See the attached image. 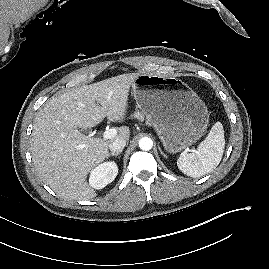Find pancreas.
Wrapping results in <instances>:
<instances>
[{
	"label": "pancreas",
	"mask_w": 269,
	"mask_h": 269,
	"mask_svg": "<svg viewBox=\"0 0 269 269\" xmlns=\"http://www.w3.org/2000/svg\"><path fill=\"white\" fill-rule=\"evenodd\" d=\"M133 116L136 117V118H138V119H143L142 114L139 113V112H136Z\"/></svg>",
	"instance_id": "cf45deb5"
}]
</instances>
